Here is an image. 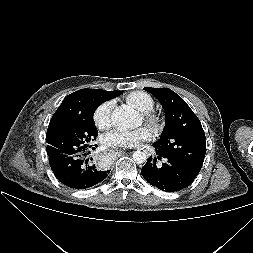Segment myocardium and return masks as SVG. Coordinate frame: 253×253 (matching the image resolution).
I'll use <instances>...</instances> for the list:
<instances>
[{"label": "myocardium", "instance_id": "obj_1", "mask_svg": "<svg viewBox=\"0 0 253 253\" xmlns=\"http://www.w3.org/2000/svg\"><path fill=\"white\" fill-rule=\"evenodd\" d=\"M143 120L155 131H159L163 127V117L155 110H148L142 112Z\"/></svg>", "mask_w": 253, "mask_h": 253}]
</instances>
